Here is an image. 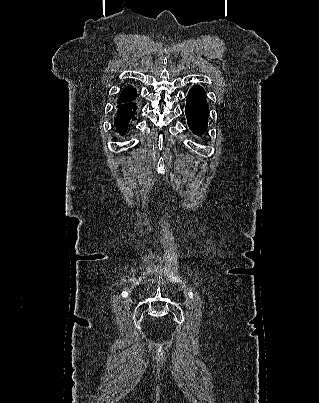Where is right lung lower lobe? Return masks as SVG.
<instances>
[{
  "instance_id": "obj_1",
  "label": "right lung lower lobe",
  "mask_w": 319,
  "mask_h": 403,
  "mask_svg": "<svg viewBox=\"0 0 319 403\" xmlns=\"http://www.w3.org/2000/svg\"><path fill=\"white\" fill-rule=\"evenodd\" d=\"M137 97L138 94L136 93L134 96L125 100L124 102H118L114 126L116 131L121 135L126 134L129 127L136 120L138 105L134 100Z\"/></svg>"
}]
</instances>
